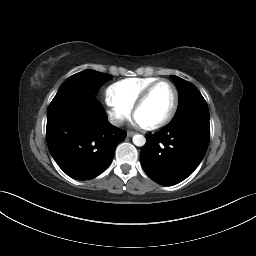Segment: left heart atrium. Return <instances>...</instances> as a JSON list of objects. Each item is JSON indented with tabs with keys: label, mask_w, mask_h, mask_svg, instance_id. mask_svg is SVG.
<instances>
[{
	"label": "left heart atrium",
	"mask_w": 256,
	"mask_h": 256,
	"mask_svg": "<svg viewBox=\"0 0 256 256\" xmlns=\"http://www.w3.org/2000/svg\"><path fill=\"white\" fill-rule=\"evenodd\" d=\"M133 123L137 126H143L142 122L137 117H134Z\"/></svg>",
	"instance_id": "left-heart-atrium-1"
}]
</instances>
